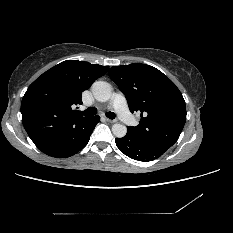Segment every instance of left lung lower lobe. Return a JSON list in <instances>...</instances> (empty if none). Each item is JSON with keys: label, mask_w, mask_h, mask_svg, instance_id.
<instances>
[{"label": "left lung lower lobe", "mask_w": 233, "mask_h": 233, "mask_svg": "<svg viewBox=\"0 0 233 233\" xmlns=\"http://www.w3.org/2000/svg\"><path fill=\"white\" fill-rule=\"evenodd\" d=\"M119 150L126 156L140 161H151L159 158L166 150L149 146L138 141L131 134L127 133L123 138L115 139Z\"/></svg>", "instance_id": "obj_1"}]
</instances>
